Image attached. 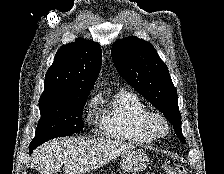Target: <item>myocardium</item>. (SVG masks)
<instances>
[{
    "label": "myocardium",
    "instance_id": "f54148a6",
    "mask_svg": "<svg viewBox=\"0 0 224 174\" xmlns=\"http://www.w3.org/2000/svg\"><path fill=\"white\" fill-rule=\"evenodd\" d=\"M155 122L161 123L162 130L159 131L155 128ZM141 126L153 139L163 138L169 132V123L166 117L159 112L147 111L141 119Z\"/></svg>",
    "mask_w": 224,
    "mask_h": 174
}]
</instances>
